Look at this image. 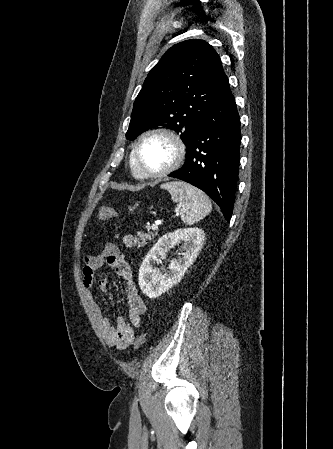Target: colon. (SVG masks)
<instances>
[{
    "mask_svg": "<svg viewBox=\"0 0 333 449\" xmlns=\"http://www.w3.org/2000/svg\"><path fill=\"white\" fill-rule=\"evenodd\" d=\"M97 217H98L99 220L107 221V220H111V219L116 218L117 217V213H116L114 208H112L110 206H103V207L99 208ZM146 340H147V333L143 332L135 340V347L137 349L140 348L141 346H143L145 344Z\"/></svg>",
    "mask_w": 333,
    "mask_h": 449,
    "instance_id": "colon-1",
    "label": "colon"
}]
</instances>
